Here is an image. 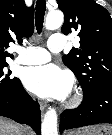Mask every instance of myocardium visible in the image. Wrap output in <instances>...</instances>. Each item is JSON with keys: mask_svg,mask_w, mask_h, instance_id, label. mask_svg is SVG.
I'll return each instance as SVG.
<instances>
[{"mask_svg": "<svg viewBox=\"0 0 112 135\" xmlns=\"http://www.w3.org/2000/svg\"><path fill=\"white\" fill-rule=\"evenodd\" d=\"M83 101L82 93H75L70 100L67 102V107L74 108L79 106Z\"/></svg>", "mask_w": 112, "mask_h": 135, "instance_id": "myocardium-1", "label": "myocardium"}]
</instances>
